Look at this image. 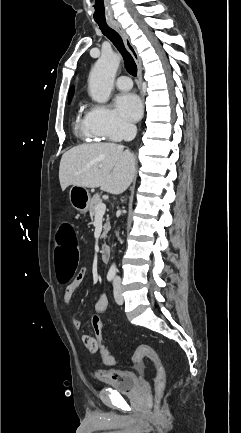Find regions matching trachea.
<instances>
[{
  "mask_svg": "<svg viewBox=\"0 0 241 433\" xmlns=\"http://www.w3.org/2000/svg\"><path fill=\"white\" fill-rule=\"evenodd\" d=\"M93 22L96 26H99L103 35L106 36L119 50L124 59L125 68L129 74L132 76L137 75V65L131 56V54L125 49L123 40L118 32L112 29L107 23L105 19L104 3H94L93 4Z\"/></svg>",
  "mask_w": 241,
  "mask_h": 433,
  "instance_id": "trachea-1",
  "label": "trachea"
}]
</instances>
